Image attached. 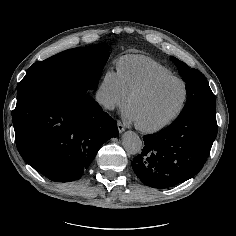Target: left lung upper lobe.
Returning <instances> with one entry per match:
<instances>
[{"label": "left lung upper lobe", "mask_w": 236, "mask_h": 236, "mask_svg": "<svg viewBox=\"0 0 236 236\" xmlns=\"http://www.w3.org/2000/svg\"><path fill=\"white\" fill-rule=\"evenodd\" d=\"M183 80L186 82L187 102L180 114L190 110L216 112V101L209 84L201 72L190 69L185 63L171 56Z\"/></svg>", "instance_id": "1"}]
</instances>
